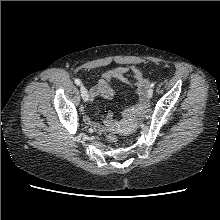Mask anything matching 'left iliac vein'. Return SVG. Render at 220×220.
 Masks as SVG:
<instances>
[{
	"label": "left iliac vein",
	"mask_w": 220,
	"mask_h": 220,
	"mask_svg": "<svg viewBox=\"0 0 220 220\" xmlns=\"http://www.w3.org/2000/svg\"><path fill=\"white\" fill-rule=\"evenodd\" d=\"M152 96H153V89L150 88L147 92V97H148V99H150Z\"/></svg>",
	"instance_id": "obj_1"
}]
</instances>
